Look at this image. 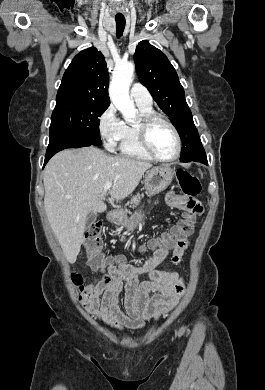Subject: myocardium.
Returning a JSON list of instances; mask_svg holds the SVG:
<instances>
[{"label": "myocardium", "instance_id": "f54148a6", "mask_svg": "<svg viewBox=\"0 0 265 390\" xmlns=\"http://www.w3.org/2000/svg\"><path fill=\"white\" fill-rule=\"evenodd\" d=\"M156 122H162L166 124L173 132L175 139H176V151L174 155L170 158H163L159 156L154 149L152 148L149 140V133L151 127L156 123ZM136 130L138 133V138L140 141V144L144 151L152 157L154 160L159 161V162H164V163H170L175 160H177L181 154V149H182V141L180 134L176 128V126L166 117H164L161 114L155 113V112H150L141 115L140 121L136 125Z\"/></svg>", "mask_w": 265, "mask_h": 390}]
</instances>
